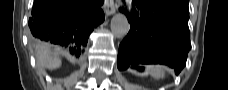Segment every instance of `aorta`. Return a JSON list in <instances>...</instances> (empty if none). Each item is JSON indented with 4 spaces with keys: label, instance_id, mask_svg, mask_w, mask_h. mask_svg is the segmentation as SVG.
<instances>
[{
    "label": "aorta",
    "instance_id": "obj_1",
    "mask_svg": "<svg viewBox=\"0 0 228 90\" xmlns=\"http://www.w3.org/2000/svg\"><path fill=\"white\" fill-rule=\"evenodd\" d=\"M129 23L125 15L116 14L111 20V31L117 38H123L129 31Z\"/></svg>",
    "mask_w": 228,
    "mask_h": 90
}]
</instances>
